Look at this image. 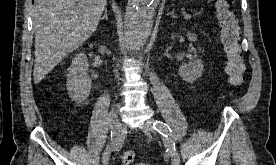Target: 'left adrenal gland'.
Listing matches in <instances>:
<instances>
[{
    "label": "left adrenal gland",
    "mask_w": 276,
    "mask_h": 165,
    "mask_svg": "<svg viewBox=\"0 0 276 165\" xmlns=\"http://www.w3.org/2000/svg\"><path fill=\"white\" fill-rule=\"evenodd\" d=\"M168 15H172L173 18H176V15L174 14V11L169 12Z\"/></svg>",
    "instance_id": "left-adrenal-gland-1"
}]
</instances>
